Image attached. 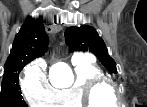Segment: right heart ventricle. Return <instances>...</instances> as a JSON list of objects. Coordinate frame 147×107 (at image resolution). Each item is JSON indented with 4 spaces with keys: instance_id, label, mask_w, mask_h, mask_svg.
I'll list each match as a JSON object with an SVG mask.
<instances>
[{
    "instance_id": "obj_1",
    "label": "right heart ventricle",
    "mask_w": 147,
    "mask_h": 107,
    "mask_svg": "<svg viewBox=\"0 0 147 107\" xmlns=\"http://www.w3.org/2000/svg\"><path fill=\"white\" fill-rule=\"evenodd\" d=\"M73 65L75 71L73 83L68 87L55 90L49 106L84 107L81 98L84 85L92 78L103 75L101 69L91 60H74Z\"/></svg>"
}]
</instances>
